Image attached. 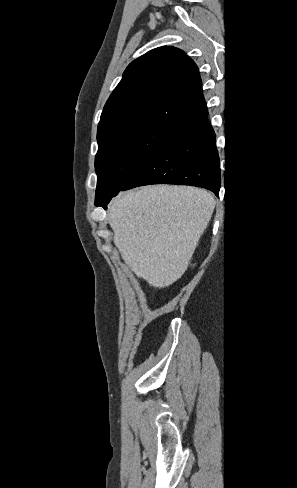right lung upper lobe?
Instances as JSON below:
<instances>
[{
  "label": "right lung upper lobe",
  "mask_w": 297,
  "mask_h": 488,
  "mask_svg": "<svg viewBox=\"0 0 297 488\" xmlns=\"http://www.w3.org/2000/svg\"><path fill=\"white\" fill-rule=\"evenodd\" d=\"M206 111L194 61L178 48L159 47L125 70L104 106L97 141L138 127L173 130Z\"/></svg>",
  "instance_id": "obj_1"
}]
</instances>
